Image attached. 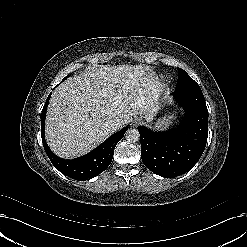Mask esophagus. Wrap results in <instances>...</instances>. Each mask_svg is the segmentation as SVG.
Returning <instances> with one entry per match:
<instances>
[{"label":"esophagus","instance_id":"obj_1","mask_svg":"<svg viewBox=\"0 0 247 247\" xmlns=\"http://www.w3.org/2000/svg\"><path fill=\"white\" fill-rule=\"evenodd\" d=\"M140 119L139 118H133L132 120H131V126L132 127H136V126H138L139 124H140Z\"/></svg>","mask_w":247,"mask_h":247}]
</instances>
